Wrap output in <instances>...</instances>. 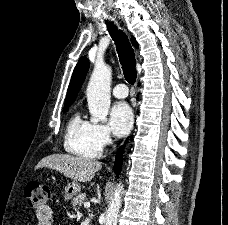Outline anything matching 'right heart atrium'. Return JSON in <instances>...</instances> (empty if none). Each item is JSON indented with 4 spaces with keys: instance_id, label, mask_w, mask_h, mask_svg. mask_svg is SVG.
Listing matches in <instances>:
<instances>
[{
    "instance_id": "right-heart-atrium-1",
    "label": "right heart atrium",
    "mask_w": 228,
    "mask_h": 225,
    "mask_svg": "<svg viewBox=\"0 0 228 225\" xmlns=\"http://www.w3.org/2000/svg\"><path fill=\"white\" fill-rule=\"evenodd\" d=\"M93 125H94L95 136L98 143L102 147L107 146L111 142V131L109 127L105 124H99V123H95Z\"/></svg>"
}]
</instances>
